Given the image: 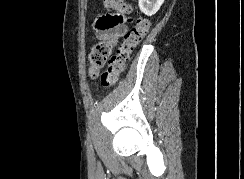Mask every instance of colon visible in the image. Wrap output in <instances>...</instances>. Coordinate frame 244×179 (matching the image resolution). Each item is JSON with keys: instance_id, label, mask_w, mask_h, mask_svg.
Segmentation results:
<instances>
[{"instance_id": "1", "label": "colon", "mask_w": 244, "mask_h": 179, "mask_svg": "<svg viewBox=\"0 0 244 179\" xmlns=\"http://www.w3.org/2000/svg\"><path fill=\"white\" fill-rule=\"evenodd\" d=\"M107 7L115 12L116 16H121L130 23V28L126 32L124 41L118 46L116 54L111 57L107 71L101 77L102 86L110 88L114 86L126 67L133 50L143 41L150 28L149 20L145 17L138 18L133 22L131 7L122 0H103ZM112 41L107 39L97 42L90 53L88 72L92 78L99 76L100 68L109 58Z\"/></svg>"}]
</instances>
